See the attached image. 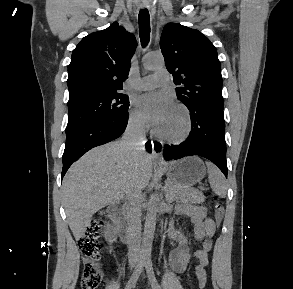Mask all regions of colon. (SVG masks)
Returning <instances> with one entry per match:
<instances>
[{
    "mask_svg": "<svg viewBox=\"0 0 293 289\" xmlns=\"http://www.w3.org/2000/svg\"><path fill=\"white\" fill-rule=\"evenodd\" d=\"M213 208L215 223L219 225L224 215V208L219 199L215 198ZM102 225L101 219H93L89 223L85 234L78 241L83 257L81 289H97L103 279V271L99 263L102 247L99 237ZM201 284H203V281H201Z\"/></svg>",
    "mask_w": 293,
    "mask_h": 289,
    "instance_id": "1",
    "label": "colon"
}]
</instances>
